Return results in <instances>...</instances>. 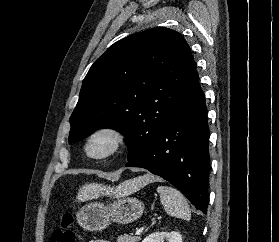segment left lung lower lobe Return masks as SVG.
<instances>
[{"label": "left lung lower lobe", "instance_id": "left-lung-lower-lobe-1", "mask_svg": "<svg viewBox=\"0 0 279 242\" xmlns=\"http://www.w3.org/2000/svg\"><path fill=\"white\" fill-rule=\"evenodd\" d=\"M205 97L196 72L183 99L144 153L126 166L141 167L178 188L206 213L210 173Z\"/></svg>", "mask_w": 279, "mask_h": 242}]
</instances>
